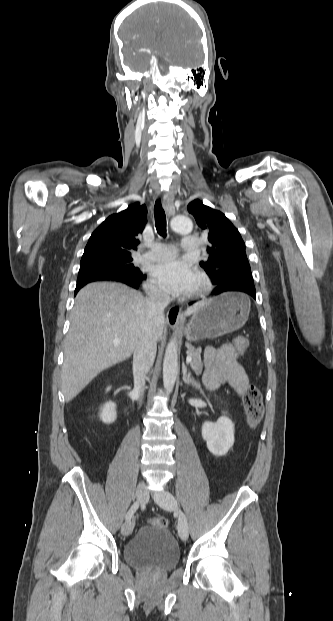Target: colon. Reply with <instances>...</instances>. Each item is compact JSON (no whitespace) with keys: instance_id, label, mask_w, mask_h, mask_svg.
I'll return each instance as SVG.
<instances>
[{"instance_id":"5ec220e1","label":"colon","mask_w":333,"mask_h":621,"mask_svg":"<svg viewBox=\"0 0 333 621\" xmlns=\"http://www.w3.org/2000/svg\"><path fill=\"white\" fill-rule=\"evenodd\" d=\"M235 349L238 354H243L247 349V341L243 338H240L235 343ZM243 404L246 412L247 419L251 425H256L264 411L263 406V397L260 390L254 385L250 384L247 386L243 393ZM150 523L160 527H167V520L162 517L152 518Z\"/></svg>"}]
</instances>
